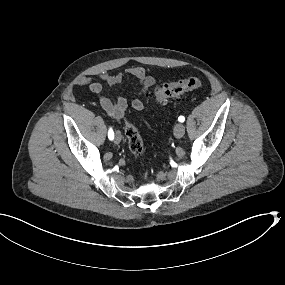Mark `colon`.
Segmentation results:
<instances>
[{
    "instance_id": "colon-1",
    "label": "colon",
    "mask_w": 285,
    "mask_h": 285,
    "mask_svg": "<svg viewBox=\"0 0 285 285\" xmlns=\"http://www.w3.org/2000/svg\"><path fill=\"white\" fill-rule=\"evenodd\" d=\"M201 86V79L197 77H188L155 88L153 95L156 103L163 104L170 99L178 98L185 92L198 89ZM125 133L131 153L135 156H141L145 151V147L138 129L130 122H126Z\"/></svg>"
}]
</instances>
